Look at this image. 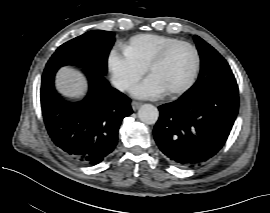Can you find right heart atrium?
I'll return each mask as SVG.
<instances>
[{"label":"right heart atrium","instance_id":"obj_1","mask_svg":"<svg viewBox=\"0 0 270 213\" xmlns=\"http://www.w3.org/2000/svg\"><path fill=\"white\" fill-rule=\"evenodd\" d=\"M109 68L114 83L121 90H130L146 73V67L132 61L126 54L113 51L109 57Z\"/></svg>","mask_w":270,"mask_h":213}]
</instances>
